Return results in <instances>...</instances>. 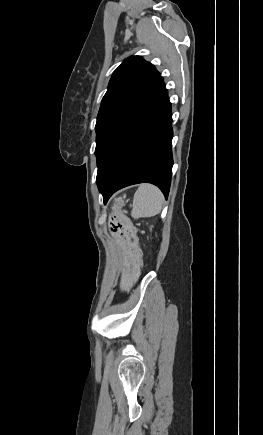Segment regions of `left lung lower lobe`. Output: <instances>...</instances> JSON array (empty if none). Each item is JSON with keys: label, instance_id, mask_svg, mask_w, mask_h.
Returning <instances> with one entry per match:
<instances>
[{"label": "left lung lower lobe", "instance_id": "left-lung-lower-lobe-1", "mask_svg": "<svg viewBox=\"0 0 263 435\" xmlns=\"http://www.w3.org/2000/svg\"><path fill=\"white\" fill-rule=\"evenodd\" d=\"M171 103L165 88L121 133L97 173L104 203L117 190L149 182L168 197L172 174Z\"/></svg>", "mask_w": 263, "mask_h": 435}]
</instances>
